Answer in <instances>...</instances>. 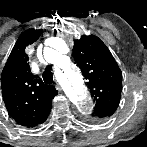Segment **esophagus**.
<instances>
[{"label": "esophagus", "instance_id": "1", "mask_svg": "<svg viewBox=\"0 0 147 147\" xmlns=\"http://www.w3.org/2000/svg\"><path fill=\"white\" fill-rule=\"evenodd\" d=\"M55 86H56L58 89H61L60 83H59L58 81H55Z\"/></svg>", "mask_w": 147, "mask_h": 147}]
</instances>
